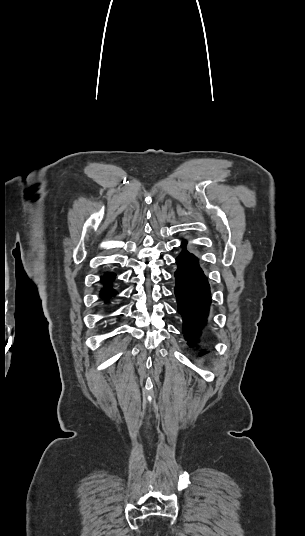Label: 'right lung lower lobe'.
<instances>
[{
    "label": "right lung lower lobe",
    "mask_w": 305,
    "mask_h": 536,
    "mask_svg": "<svg viewBox=\"0 0 305 536\" xmlns=\"http://www.w3.org/2000/svg\"><path fill=\"white\" fill-rule=\"evenodd\" d=\"M115 277H116L115 273L106 272L101 278V283L103 284V288H101L100 296L105 300L115 296L117 293L112 288V282L114 281Z\"/></svg>",
    "instance_id": "98d812e1"
}]
</instances>
